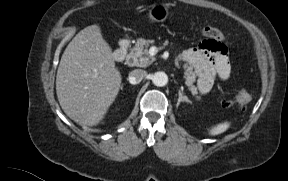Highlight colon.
Listing matches in <instances>:
<instances>
[{"label": "colon", "instance_id": "1", "mask_svg": "<svg viewBox=\"0 0 288 181\" xmlns=\"http://www.w3.org/2000/svg\"><path fill=\"white\" fill-rule=\"evenodd\" d=\"M208 34L210 36V40L207 42L208 45L214 49V50H217V51H222L223 50V47H222V42H223V39H224V35L222 33L221 30L217 29V28H210L208 30ZM215 44H217V46H215ZM233 99H230L227 103L228 104H232L233 103Z\"/></svg>", "mask_w": 288, "mask_h": 181}]
</instances>
